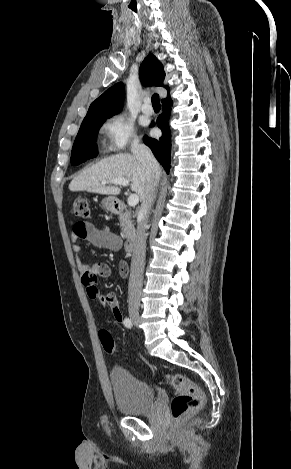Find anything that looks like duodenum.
<instances>
[{"mask_svg":"<svg viewBox=\"0 0 291 469\" xmlns=\"http://www.w3.org/2000/svg\"><path fill=\"white\" fill-rule=\"evenodd\" d=\"M113 209L116 212H120L123 209L122 203L120 201H114ZM134 247H135V240L133 237H129L125 242L124 248L127 252H132L134 250Z\"/></svg>","mask_w":291,"mask_h":469,"instance_id":"obj_1","label":"duodenum"}]
</instances>
